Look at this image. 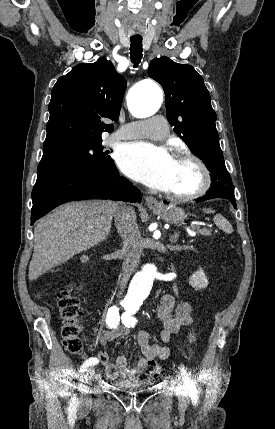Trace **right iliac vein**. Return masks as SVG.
Masks as SVG:
<instances>
[{"instance_id":"obj_1","label":"right iliac vein","mask_w":275,"mask_h":429,"mask_svg":"<svg viewBox=\"0 0 275 429\" xmlns=\"http://www.w3.org/2000/svg\"><path fill=\"white\" fill-rule=\"evenodd\" d=\"M95 374V370H94V368L93 367H90L87 371H86V376H85V379H86V381H89L92 377H93V375Z\"/></svg>"}]
</instances>
